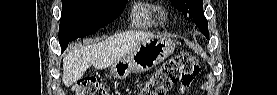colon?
<instances>
[{
	"label": "colon",
	"mask_w": 277,
	"mask_h": 95,
	"mask_svg": "<svg viewBox=\"0 0 277 95\" xmlns=\"http://www.w3.org/2000/svg\"><path fill=\"white\" fill-rule=\"evenodd\" d=\"M201 74L198 59L190 53H181L167 60L145 83L139 95H165L173 85ZM75 95L108 94V87L94 77L83 78L73 87Z\"/></svg>",
	"instance_id": "colon-1"
}]
</instances>
